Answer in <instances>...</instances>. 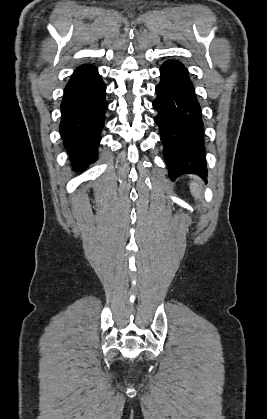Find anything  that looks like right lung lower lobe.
<instances>
[{
	"mask_svg": "<svg viewBox=\"0 0 267 419\" xmlns=\"http://www.w3.org/2000/svg\"><path fill=\"white\" fill-rule=\"evenodd\" d=\"M105 91L97 68L89 64L78 67L65 86L59 128L76 171L97 159L108 106Z\"/></svg>",
	"mask_w": 267,
	"mask_h": 419,
	"instance_id": "obj_1",
	"label": "right lung lower lobe"
}]
</instances>
